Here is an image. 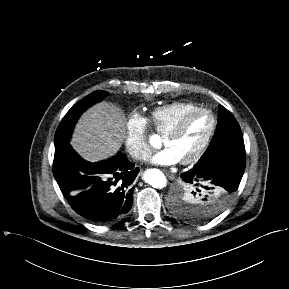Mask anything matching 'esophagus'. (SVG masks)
Listing matches in <instances>:
<instances>
[{
    "mask_svg": "<svg viewBox=\"0 0 289 289\" xmlns=\"http://www.w3.org/2000/svg\"><path fill=\"white\" fill-rule=\"evenodd\" d=\"M166 174L169 177V179H174V176L172 174H170V173H166Z\"/></svg>",
    "mask_w": 289,
    "mask_h": 289,
    "instance_id": "1",
    "label": "esophagus"
}]
</instances>
